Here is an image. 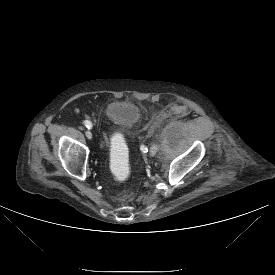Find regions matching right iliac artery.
I'll return each mask as SVG.
<instances>
[{
  "label": "right iliac artery",
  "mask_w": 275,
  "mask_h": 275,
  "mask_svg": "<svg viewBox=\"0 0 275 275\" xmlns=\"http://www.w3.org/2000/svg\"><path fill=\"white\" fill-rule=\"evenodd\" d=\"M84 125L88 128V129H91L92 128V123L88 120H85L84 121Z\"/></svg>",
  "instance_id": "right-iliac-artery-1"
}]
</instances>
